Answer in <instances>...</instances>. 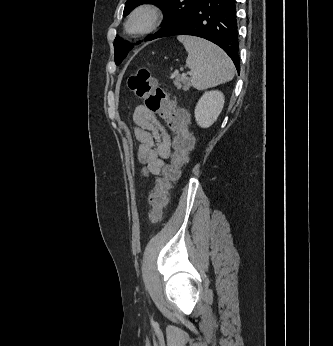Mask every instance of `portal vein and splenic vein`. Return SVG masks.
<instances>
[{
    "label": "portal vein and splenic vein",
    "instance_id": "portal-vein-and-splenic-vein-1",
    "mask_svg": "<svg viewBox=\"0 0 333 346\" xmlns=\"http://www.w3.org/2000/svg\"><path fill=\"white\" fill-rule=\"evenodd\" d=\"M189 75H192V72H189Z\"/></svg>",
    "mask_w": 333,
    "mask_h": 346
}]
</instances>
